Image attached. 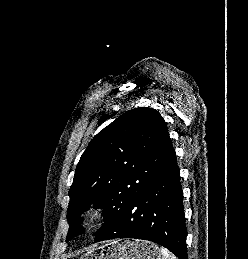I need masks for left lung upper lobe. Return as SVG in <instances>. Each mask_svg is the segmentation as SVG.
Wrapping results in <instances>:
<instances>
[{
  "label": "left lung upper lobe",
  "instance_id": "1",
  "mask_svg": "<svg viewBox=\"0 0 248 259\" xmlns=\"http://www.w3.org/2000/svg\"><path fill=\"white\" fill-rule=\"evenodd\" d=\"M165 121L152 108L127 111L98 133L77 165L69 190L67 240L84 232L82 213L93 204L114 223L175 160Z\"/></svg>",
  "mask_w": 248,
  "mask_h": 259
}]
</instances>
